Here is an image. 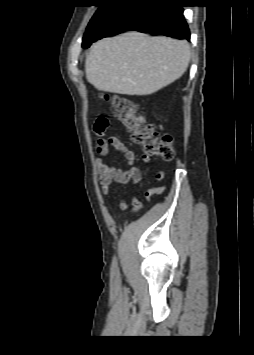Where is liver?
<instances>
[{
	"label": "liver",
	"mask_w": 254,
	"mask_h": 355,
	"mask_svg": "<svg viewBox=\"0 0 254 355\" xmlns=\"http://www.w3.org/2000/svg\"><path fill=\"white\" fill-rule=\"evenodd\" d=\"M190 58L185 40L132 31L96 42L86 58L85 72L99 91L150 95L179 79Z\"/></svg>",
	"instance_id": "1"
}]
</instances>
